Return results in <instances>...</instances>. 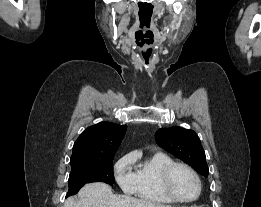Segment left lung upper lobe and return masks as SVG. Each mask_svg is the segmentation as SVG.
Wrapping results in <instances>:
<instances>
[{
  "instance_id": "1",
  "label": "left lung upper lobe",
  "mask_w": 261,
  "mask_h": 207,
  "mask_svg": "<svg viewBox=\"0 0 261 207\" xmlns=\"http://www.w3.org/2000/svg\"><path fill=\"white\" fill-rule=\"evenodd\" d=\"M158 145L191 165L203 176H208L205 152L198 135L182 127L161 128L155 134Z\"/></svg>"
}]
</instances>
